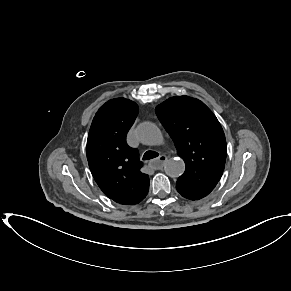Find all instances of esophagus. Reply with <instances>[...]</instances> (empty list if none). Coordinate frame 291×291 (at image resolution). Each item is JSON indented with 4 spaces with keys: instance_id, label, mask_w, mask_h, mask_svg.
<instances>
[{
    "instance_id": "34e87169",
    "label": "esophagus",
    "mask_w": 291,
    "mask_h": 291,
    "mask_svg": "<svg viewBox=\"0 0 291 291\" xmlns=\"http://www.w3.org/2000/svg\"><path fill=\"white\" fill-rule=\"evenodd\" d=\"M167 157L165 155H160L158 158L151 161L150 166L153 169H160L166 163Z\"/></svg>"
}]
</instances>
